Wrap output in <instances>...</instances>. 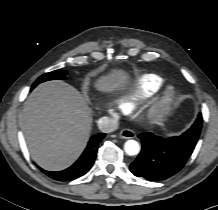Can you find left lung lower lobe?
Listing matches in <instances>:
<instances>
[{
	"label": "left lung lower lobe",
	"mask_w": 218,
	"mask_h": 210,
	"mask_svg": "<svg viewBox=\"0 0 218 210\" xmlns=\"http://www.w3.org/2000/svg\"><path fill=\"white\" fill-rule=\"evenodd\" d=\"M200 131L187 130L180 136L162 138L142 133V150L130 165V171L150 181L165 180L183 168L198 141Z\"/></svg>",
	"instance_id": "left-lung-lower-lobe-1"
}]
</instances>
